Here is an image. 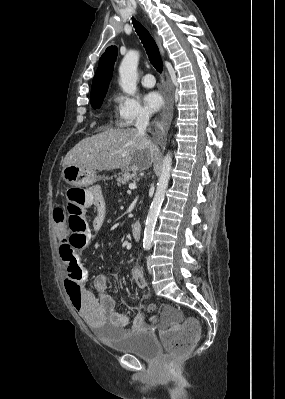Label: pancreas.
<instances>
[{"mask_svg":"<svg viewBox=\"0 0 285 399\" xmlns=\"http://www.w3.org/2000/svg\"><path fill=\"white\" fill-rule=\"evenodd\" d=\"M133 179V176L128 172H122L121 175L117 178L118 186L126 185Z\"/></svg>","mask_w":285,"mask_h":399,"instance_id":"cf45deb5","label":"pancreas"}]
</instances>
